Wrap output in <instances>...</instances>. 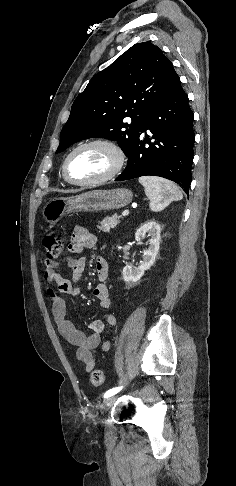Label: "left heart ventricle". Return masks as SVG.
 <instances>
[{
    "instance_id": "left-heart-ventricle-1",
    "label": "left heart ventricle",
    "mask_w": 236,
    "mask_h": 486,
    "mask_svg": "<svg viewBox=\"0 0 236 486\" xmlns=\"http://www.w3.org/2000/svg\"><path fill=\"white\" fill-rule=\"evenodd\" d=\"M114 165L112 152L103 146H90L76 152L68 166L69 175L78 181H88L109 172Z\"/></svg>"
}]
</instances>
